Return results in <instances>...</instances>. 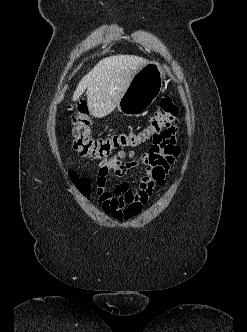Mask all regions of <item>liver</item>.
Segmentation results:
<instances>
[{"instance_id":"6515ba94","label":"liver","mask_w":247,"mask_h":332,"mask_svg":"<svg viewBox=\"0 0 247 332\" xmlns=\"http://www.w3.org/2000/svg\"><path fill=\"white\" fill-rule=\"evenodd\" d=\"M147 60L134 55H114L100 60L79 82L73 100L87 89V105L91 114L103 118L120 102L135 73Z\"/></svg>"}]
</instances>
